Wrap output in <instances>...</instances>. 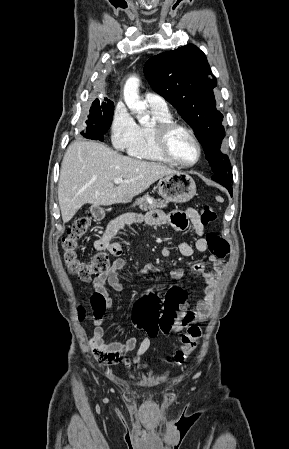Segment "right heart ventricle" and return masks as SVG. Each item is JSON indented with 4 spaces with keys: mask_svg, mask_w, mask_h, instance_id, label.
<instances>
[{
    "mask_svg": "<svg viewBox=\"0 0 289 449\" xmlns=\"http://www.w3.org/2000/svg\"><path fill=\"white\" fill-rule=\"evenodd\" d=\"M150 109L153 116V123L138 125V138L135 145L129 150V153L140 159L171 163L157 148L153 126L158 122L172 121V115L168 108L161 110L150 107Z\"/></svg>",
    "mask_w": 289,
    "mask_h": 449,
    "instance_id": "e07e8e85",
    "label": "right heart ventricle"
}]
</instances>
